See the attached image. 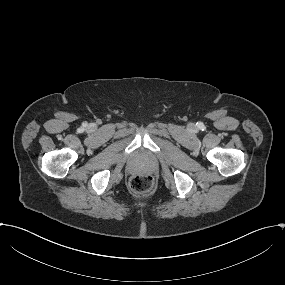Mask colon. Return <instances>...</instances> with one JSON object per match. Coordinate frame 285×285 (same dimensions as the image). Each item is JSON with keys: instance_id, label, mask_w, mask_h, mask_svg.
I'll return each instance as SVG.
<instances>
[{"instance_id": "5ec220e1", "label": "colon", "mask_w": 285, "mask_h": 285, "mask_svg": "<svg viewBox=\"0 0 285 285\" xmlns=\"http://www.w3.org/2000/svg\"><path fill=\"white\" fill-rule=\"evenodd\" d=\"M129 185L136 193H149L154 188L155 181L149 174H135L130 178Z\"/></svg>"}]
</instances>
